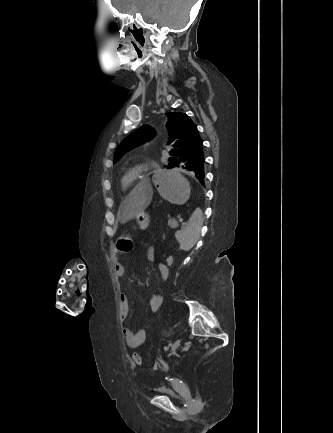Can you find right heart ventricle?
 I'll list each match as a JSON object with an SVG mask.
<instances>
[{"label": "right heart ventricle", "instance_id": "1", "mask_svg": "<svg viewBox=\"0 0 333 433\" xmlns=\"http://www.w3.org/2000/svg\"><path fill=\"white\" fill-rule=\"evenodd\" d=\"M128 186H129L128 181L126 179H122L121 180V185H120L121 191L122 192L127 191Z\"/></svg>", "mask_w": 333, "mask_h": 433}]
</instances>
